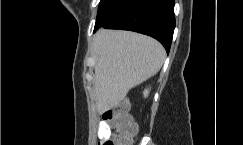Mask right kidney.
I'll use <instances>...</instances> for the list:
<instances>
[{
  "label": "right kidney",
  "mask_w": 243,
  "mask_h": 145,
  "mask_svg": "<svg viewBox=\"0 0 243 145\" xmlns=\"http://www.w3.org/2000/svg\"><path fill=\"white\" fill-rule=\"evenodd\" d=\"M143 94H144V97H147L149 94V90L146 89Z\"/></svg>",
  "instance_id": "ca27d5eb"
}]
</instances>
